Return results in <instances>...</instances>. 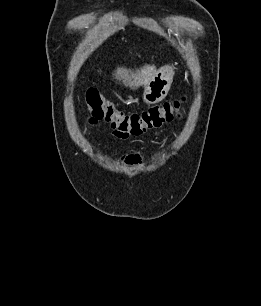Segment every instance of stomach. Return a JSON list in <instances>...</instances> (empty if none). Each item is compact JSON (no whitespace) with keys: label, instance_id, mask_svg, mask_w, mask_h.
<instances>
[{"label":"stomach","instance_id":"0dacf381","mask_svg":"<svg viewBox=\"0 0 261 306\" xmlns=\"http://www.w3.org/2000/svg\"><path fill=\"white\" fill-rule=\"evenodd\" d=\"M174 71L170 67L159 69L145 88L143 100L147 104H155L163 100L173 81Z\"/></svg>","mask_w":261,"mask_h":306}]
</instances>
